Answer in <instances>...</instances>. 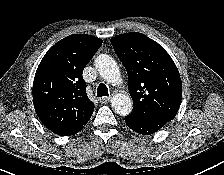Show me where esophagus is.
<instances>
[{"instance_id": "esophagus-1", "label": "esophagus", "mask_w": 224, "mask_h": 175, "mask_svg": "<svg viewBox=\"0 0 224 175\" xmlns=\"http://www.w3.org/2000/svg\"><path fill=\"white\" fill-rule=\"evenodd\" d=\"M99 101H100V103H102V104H106V103H108V102L110 101V97H107V96H105V97H101V98L99 99Z\"/></svg>"}]
</instances>
